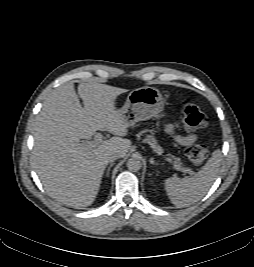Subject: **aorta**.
<instances>
[{
    "label": "aorta",
    "mask_w": 254,
    "mask_h": 267,
    "mask_svg": "<svg viewBox=\"0 0 254 267\" xmlns=\"http://www.w3.org/2000/svg\"><path fill=\"white\" fill-rule=\"evenodd\" d=\"M142 163L139 158L137 157H131L127 161V168L131 172H137L141 169Z\"/></svg>",
    "instance_id": "762f6f07"
}]
</instances>
